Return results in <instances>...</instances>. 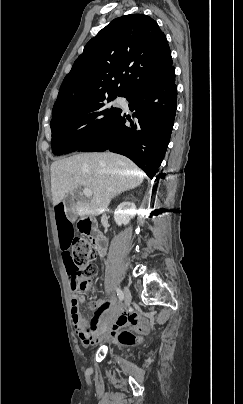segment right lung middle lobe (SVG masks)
<instances>
[{
    "mask_svg": "<svg viewBox=\"0 0 243 404\" xmlns=\"http://www.w3.org/2000/svg\"><path fill=\"white\" fill-rule=\"evenodd\" d=\"M116 96L102 97L52 117V152L62 155L76 151L99 134L117 116L119 108L106 106Z\"/></svg>",
    "mask_w": 243,
    "mask_h": 404,
    "instance_id": "right-lung-middle-lobe-1",
    "label": "right lung middle lobe"
}]
</instances>
